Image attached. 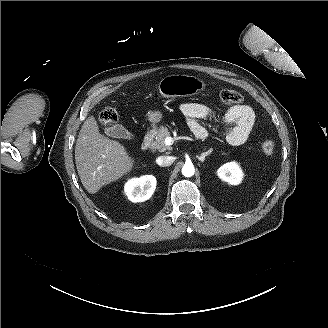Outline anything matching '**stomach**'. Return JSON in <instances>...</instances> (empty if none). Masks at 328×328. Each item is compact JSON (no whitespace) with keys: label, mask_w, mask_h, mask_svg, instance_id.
Instances as JSON below:
<instances>
[{"label":"stomach","mask_w":328,"mask_h":328,"mask_svg":"<svg viewBox=\"0 0 328 328\" xmlns=\"http://www.w3.org/2000/svg\"><path fill=\"white\" fill-rule=\"evenodd\" d=\"M158 93L163 99H174L179 97H193L207 88V83L196 76L173 74L162 78L158 83ZM164 118V114L157 109L150 110L146 119L152 130H157L158 124Z\"/></svg>","instance_id":"stomach-1"}]
</instances>
